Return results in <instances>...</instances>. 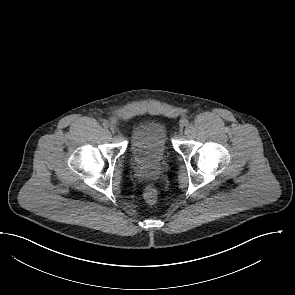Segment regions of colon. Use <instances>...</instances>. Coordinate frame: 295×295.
<instances>
[{"mask_svg":"<svg viewBox=\"0 0 295 295\" xmlns=\"http://www.w3.org/2000/svg\"><path fill=\"white\" fill-rule=\"evenodd\" d=\"M158 197L156 188L152 185L146 186L144 190V198L148 203H155Z\"/></svg>","mask_w":295,"mask_h":295,"instance_id":"colon-1","label":"colon"}]
</instances>
